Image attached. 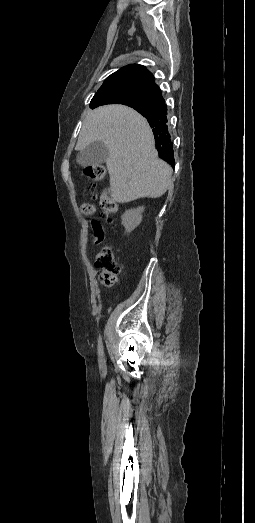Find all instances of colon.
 I'll return each mask as SVG.
<instances>
[{
	"label": "colon",
	"instance_id": "1",
	"mask_svg": "<svg viewBox=\"0 0 255 523\" xmlns=\"http://www.w3.org/2000/svg\"><path fill=\"white\" fill-rule=\"evenodd\" d=\"M85 175L93 182H100L106 178V168L103 165H94L87 167L84 170ZM100 207L103 210V216L109 219L111 215L116 213L117 204L109 196L107 191H103L99 196ZM81 213L85 216H92L96 211V206L93 202H84L81 207ZM95 266L100 271V281L104 286H112L117 279L119 267L114 259L113 251L110 247H102L96 255Z\"/></svg>",
	"mask_w": 255,
	"mask_h": 523
}]
</instances>
